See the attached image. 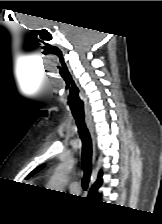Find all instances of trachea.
Segmentation results:
<instances>
[{
  "label": "trachea",
  "mask_w": 162,
  "mask_h": 224,
  "mask_svg": "<svg viewBox=\"0 0 162 224\" xmlns=\"http://www.w3.org/2000/svg\"><path fill=\"white\" fill-rule=\"evenodd\" d=\"M75 122L78 127V132L82 140V168L84 176L82 179V187L84 190L88 188L91 174V163H92V140L89 130L85 123L84 117L74 116Z\"/></svg>",
  "instance_id": "1"
}]
</instances>
